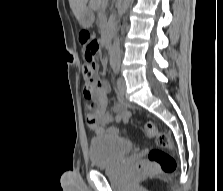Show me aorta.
Here are the masks:
<instances>
[{
    "instance_id": "1",
    "label": "aorta",
    "mask_w": 223,
    "mask_h": 191,
    "mask_svg": "<svg viewBox=\"0 0 223 191\" xmlns=\"http://www.w3.org/2000/svg\"><path fill=\"white\" fill-rule=\"evenodd\" d=\"M130 2L131 0H119L117 7L119 18H121L124 15ZM120 61H121L120 40L119 38H115L111 49L110 63L112 65H119Z\"/></svg>"
}]
</instances>
